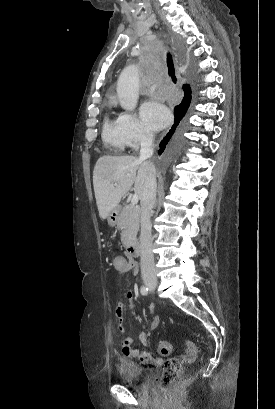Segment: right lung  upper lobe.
Masks as SVG:
<instances>
[{
	"instance_id": "obj_1",
	"label": "right lung upper lobe",
	"mask_w": 275,
	"mask_h": 409,
	"mask_svg": "<svg viewBox=\"0 0 275 409\" xmlns=\"http://www.w3.org/2000/svg\"><path fill=\"white\" fill-rule=\"evenodd\" d=\"M183 90H184V97H183L181 104L191 98V88L188 84L183 85Z\"/></svg>"
}]
</instances>
